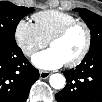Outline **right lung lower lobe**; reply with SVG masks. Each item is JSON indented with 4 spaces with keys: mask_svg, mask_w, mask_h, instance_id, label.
I'll use <instances>...</instances> for the list:
<instances>
[{
    "mask_svg": "<svg viewBox=\"0 0 102 102\" xmlns=\"http://www.w3.org/2000/svg\"><path fill=\"white\" fill-rule=\"evenodd\" d=\"M39 72L18 46L0 45V100L25 102Z\"/></svg>",
    "mask_w": 102,
    "mask_h": 102,
    "instance_id": "obj_1",
    "label": "right lung lower lobe"
}]
</instances>
